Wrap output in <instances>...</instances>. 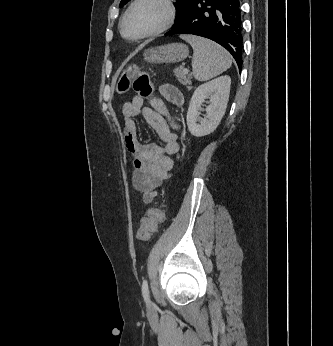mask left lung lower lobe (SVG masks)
Returning a JSON list of instances; mask_svg holds the SVG:
<instances>
[{
	"instance_id": "obj_1",
	"label": "left lung lower lobe",
	"mask_w": 333,
	"mask_h": 346,
	"mask_svg": "<svg viewBox=\"0 0 333 346\" xmlns=\"http://www.w3.org/2000/svg\"><path fill=\"white\" fill-rule=\"evenodd\" d=\"M193 34L211 39L227 49L242 67L240 0H193L185 16L165 35Z\"/></svg>"
}]
</instances>
